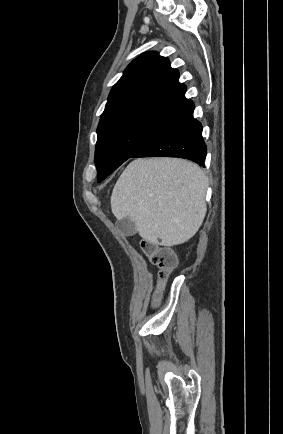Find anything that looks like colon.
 <instances>
[{"mask_svg": "<svg viewBox=\"0 0 283 434\" xmlns=\"http://www.w3.org/2000/svg\"><path fill=\"white\" fill-rule=\"evenodd\" d=\"M142 247L150 263L157 267V289L159 290L177 265L176 254L168 247L148 242H144Z\"/></svg>", "mask_w": 283, "mask_h": 434, "instance_id": "1", "label": "colon"}]
</instances>
